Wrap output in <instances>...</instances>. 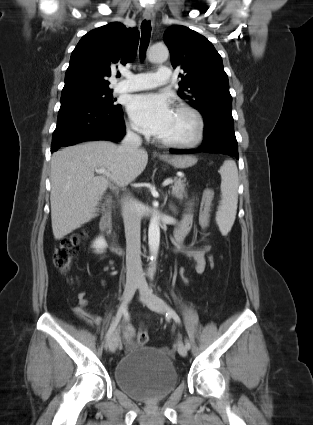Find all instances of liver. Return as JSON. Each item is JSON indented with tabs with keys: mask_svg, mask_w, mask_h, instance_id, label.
I'll return each mask as SVG.
<instances>
[{
	"mask_svg": "<svg viewBox=\"0 0 313 425\" xmlns=\"http://www.w3.org/2000/svg\"><path fill=\"white\" fill-rule=\"evenodd\" d=\"M144 149L133 155L109 141L66 147L51 159V222L56 240L64 238L96 216L97 205L111 181L127 185L146 168ZM105 168L110 176L95 175Z\"/></svg>",
	"mask_w": 313,
	"mask_h": 425,
	"instance_id": "1",
	"label": "liver"
}]
</instances>
